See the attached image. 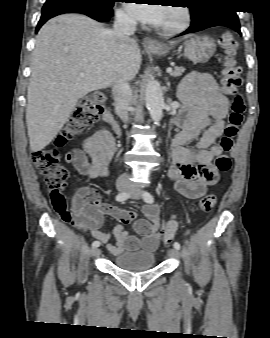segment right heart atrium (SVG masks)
I'll return each instance as SVG.
<instances>
[{"label": "right heart atrium", "instance_id": "1", "mask_svg": "<svg viewBox=\"0 0 270 338\" xmlns=\"http://www.w3.org/2000/svg\"><path fill=\"white\" fill-rule=\"evenodd\" d=\"M118 17L120 21L127 23V24H134L135 20L134 18L125 10H120L118 12Z\"/></svg>", "mask_w": 270, "mask_h": 338}]
</instances>
